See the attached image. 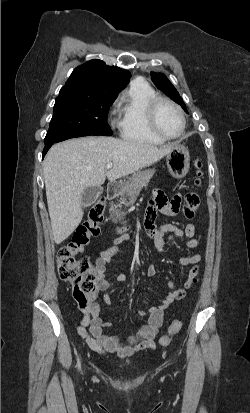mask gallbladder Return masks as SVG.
<instances>
[{
	"label": "gallbladder",
	"instance_id": "gallbladder-1",
	"mask_svg": "<svg viewBox=\"0 0 250 413\" xmlns=\"http://www.w3.org/2000/svg\"><path fill=\"white\" fill-rule=\"evenodd\" d=\"M102 192L101 187H88L84 190L82 194V204L83 206H90L99 197Z\"/></svg>",
	"mask_w": 250,
	"mask_h": 413
}]
</instances>
